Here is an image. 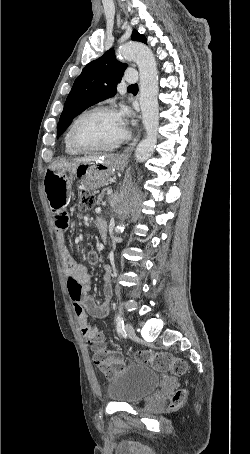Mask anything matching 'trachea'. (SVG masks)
<instances>
[{
    "label": "trachea",
    "instance_id": "1",
    "mask_svg": "<svg viewBox=\"0 0 250 454\" xmlns=\"http://www.w3.org/2000/svg\"><path fill=\"white\" fill-rule=\"evenodd\" d=\"M129 87H137V84H134V85H130Z\"/></svg>",
    "mask_w": 250,
    "mask_h": 454
}]
</instances>
